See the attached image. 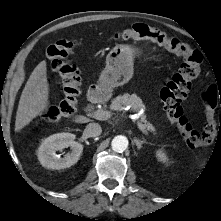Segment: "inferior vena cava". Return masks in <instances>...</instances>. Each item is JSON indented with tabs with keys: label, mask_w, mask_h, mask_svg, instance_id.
<instances>
[{
	"label": "inferior vena cava",
	"mask_w": 221,
	"mask_h": 221,
	"mask_svg": "<svg viewBox=\"0 0 221 221\" xmlns=\"http://www.w3.org/2000/svg\"><path fill=\"white\" fill-rule=\"evenodd\" d=\"M85 133L89 137H96L102 133V128L98 123H89L85 128Z\"/></svg>",
	"instance_id": "obj_1"
}]
</instances>
